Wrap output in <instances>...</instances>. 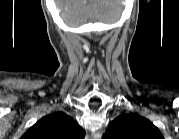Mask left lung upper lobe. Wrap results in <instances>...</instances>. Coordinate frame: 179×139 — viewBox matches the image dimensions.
<instances>
[{
	"label": "left lung upper lobe",
	"instance_id": "1",
	"mask_svg": "<svg viewBox=\"0 0 179 139\" xmlns=\"http://www.w3.org/2000/svg\"><path fill=\"white\" fill-rule=\"evenodd\" d=\"M104 136L109 139H163L153 123L137 114L118 116L109 123Z\"/></svg>",
	"mask_w": 179,
	"mask_h": 139
}]
</instances>
